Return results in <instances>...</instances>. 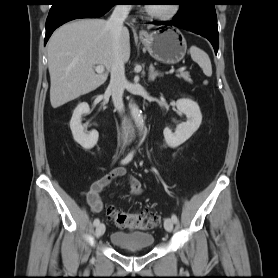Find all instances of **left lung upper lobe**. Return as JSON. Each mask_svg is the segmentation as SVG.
<instances>
[{
  "label": "left lung upper lobe",
  "instance_id": "left-lung-upper-lobe-1",
  "mask_svg": "<svg viewBox=\"0 0 278 278\" xmlns=\"http://www.w3.org/2000/svg\"><path fill=\"white\" fill-rule=\"evenodd\" d=\"M190 1L191 0H177L178 4L180 5V9L187 7Z\"/></svg>",
  "mask_w": 278,
  "mask_h": 278
}]
</instances>
